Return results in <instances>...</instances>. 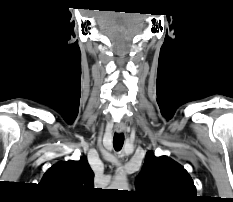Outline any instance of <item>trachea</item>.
Returning a JSON list of instances; mask_svg holds the SVG:
<instances>
[{"label":"trachea","mask_w":233,"mask_h":202,"mask_svg":"<svg viewBox=\"0 0 233 202\" xmlns=\"http://www.w3.org/2000/svg\"><path fill=\"white\" fill-rule=\"evenodd\" d=\"M123 143H124V134H118V133H115L114 134V138H113V146H114V149L116 151H119L121 150L122 146H123Z\"/></svg>","instance_id":"1"}]
</instances>
